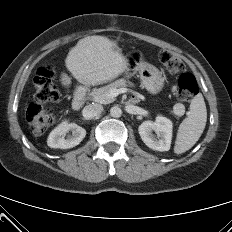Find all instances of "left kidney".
Listing matches in <instances>:
<instances>
[{"label":"left kidney","instance_id":"5707ae66","mask_svg":"<svg viewBox=\"0 0 232 232\" xmlns=\"http://www.w3.org/2000/svg\"><path fill=\"white\" fill-rule=\"evenodd\" d=\"M172 121L163 116H157L155 122L144 121L138 128L142 141L156 151H168L172 140ZM157 134V137L153 134Z\"/></svg>","mask_w":232,"mask_h":232}]
</instances>
